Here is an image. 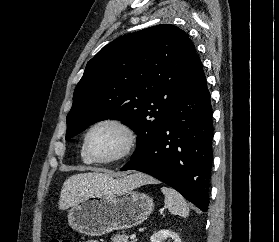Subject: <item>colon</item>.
<instances>
[{
	"label": "colon",
	"mask_w": 279,
	"mask_h": 242,
	"mask_svg": "<svg viewBox=\"0 0 279 242\" xmlns=\"http://www.w3.org/2000/svg\"><path fill=\"white\" fill-rule=\"evenodd\" d=\"M50 242H71L70 239H59V238H54Z\"/></svg>",
	"instance_id": "colon-1"
}]
</instances>
